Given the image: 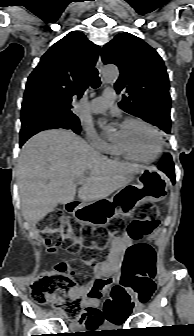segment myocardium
Returning a JSON list of instances; mask_svg holds the SVG:
<instances>
[{"label":"myocardium","mask_w":194,"mask_h":336,"mask_svg":"<svg viewBox=\"0 0 194 336\" xmlns=\"http://www.w3.org/2000/svg\"><path fill=\"white\" fill-rule=\"evenodd\" d=\"M133 123L141 124V125L147 127L149 130H151L153 132V134L155 135L156 140H157V149H156L155 154L150 158H144V157H140V156L132 153L125 146H123L121 143H119L117 141H114V145L118 148V150L124 156H126L130 159L137 160V161H140V162H145V163H151V162L156 161L161 156L162 151H163V139H162L161 133L159 132V130L154 125H152L151 123H149V122H147V121H145L141 118H135V117L127 118L124 121L123 125H128V124H133Z\"/></svg>","instance_id":"f54148a6"}]
</instances>
